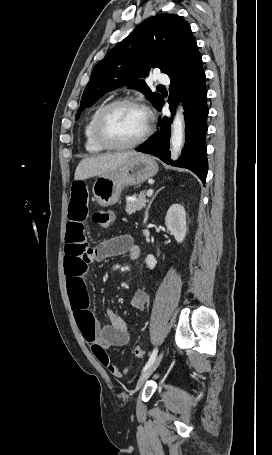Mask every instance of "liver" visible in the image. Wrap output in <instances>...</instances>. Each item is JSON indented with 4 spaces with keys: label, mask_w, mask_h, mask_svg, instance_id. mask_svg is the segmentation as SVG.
I'll list each match as a JSON object with an SVG mask.
<instances>
[{
    "label": "liver",
    "mask_w": 272,
    "mask_h": 455,
    "mask_svg": "<svg viewBox=\"0 0 272 455\" xmlns=\"http://www.w3.org/2000/svg\"><path fill=\"white\" fill-rule=\"evenodd\" d=\"M138 154L134 151L88 157L80 161L74 179L82 181L91 177L105 175L121 166L129 157Z\"/></svg>",
    "instance_id": "obj_1"
}]
</instances>
